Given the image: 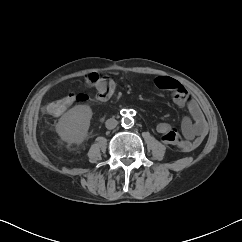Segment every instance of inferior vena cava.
Returning a JSON list of instances; mask_svg holds the SVG:
<instances>
[{
	"mask_svg": "<svg viewBox=\"0 0 242 242\" xmlns=\"http://www.w3.org/2000/svg\"><path fill=\"white\" fill-rule=\"evenodd\" d=\"M118 125V121L114 118H110L105 122V126L107 129H114Z\"/></svg>",
	"mask_w": 242,
	"mask_h": 242,
	"instance_id": "inferior-vena-cava-1",
	"label": "inferior vena cava"
}]
</instances>
